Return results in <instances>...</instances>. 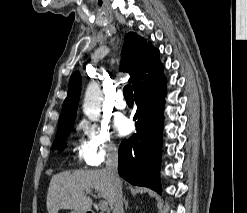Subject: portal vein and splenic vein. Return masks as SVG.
Masks as SVG:
<instances>
[{
  "mask_svg": "<svg viewBox=\"0 0 247 213\" xmlns=\"http://www.w3.org/2000/svg\"><path fill=\"white\" fill-rule=\"evenodd\" d=\"M99 208L102 211H107L108 210V203L106 201H100L99 202Z\"/></svg>",
  "mask_w": 247,
  "mask_h": 213,
  "instance_id": "1",
  "label": "portal vein and splenic vein"
}]
</instances>
